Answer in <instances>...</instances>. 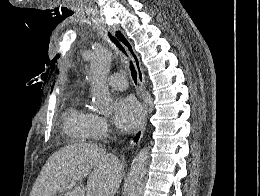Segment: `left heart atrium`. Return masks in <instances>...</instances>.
<instances>
[{
	"mask_svg": "<svg viewBox=\"0 0 260 196\" xmlns=\"http://www.w3.org/2000/svg\"><path fill=\"white\" fill-rule=\"evenodd\" d=\"M143 117V109L132 96H120L113 105L112 119L114 124L123 132L135 129Z\"/></svg>",
	"mask_w": 260,
	"mask_h": 196,
	"instance_id": "left-heart-atrium-1",
	"label": "left heart atrium"
}]
</instances>
